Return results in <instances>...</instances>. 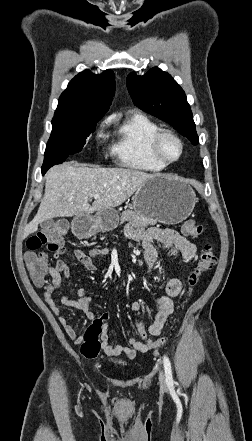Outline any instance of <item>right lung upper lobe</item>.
<instances>
[{"label": "right lung upper lobe", "mask_w": 252, "mask_h": 441, "mask_svg": "<svg viewBox=\"0 0 252 441\" xmlns=\"http://www.w3.org/2000/svg\"><path fill=\"white\" fill-rule=\"evenodd\" d=\"M115 91V75L105 70L99 75L85 70L76 75L58 100L55 115L101 119Z\"/></svg>", "instance_id": "1"}]
</instances>
